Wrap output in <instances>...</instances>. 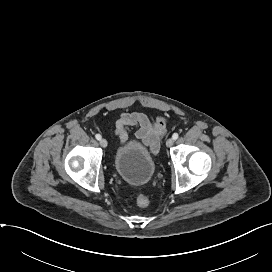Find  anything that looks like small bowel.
Instances as JSON below:
<instances>
[{
    "label": "small bowel",
    "instance_id": "c3829d8e",
    "mask_svg": "<svg viewBox=\"0 0 272 272\" xmlns=\"http://www.w3.org/2000/svg\"><path fill=\"white\" fill-rule=\"evenodd\" d=\"M133 129L136 130V138L147 146L152 153H156L166 130V118L157 117L152 120L140 112L122 113L115 126V135L121 144L127 142L129 132Z\"/></svg>",
    "mask_w": 272,
    "mask_h": 272
}]
</instances>
